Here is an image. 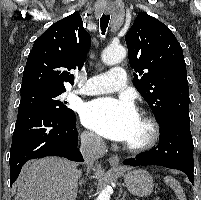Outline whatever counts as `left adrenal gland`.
Returning a JSON list of instances; mask_svg holds the SVG:
<instances>
[{
    "instance_id": "a2214340",
    "label": "left adrenal gland",
    "mask_w": 201,
    "mask_h": 200,
    "mask_svg": "<svg viewBox=\"0 0 201 200\" xmlns=\"http://www.w3.org/2000/svg\"><path fill=\"white\" fill-rule=\"evenodd\" d=\"M125 196H126V192H124L121 200H125Z\"/></svg>"
}]
</instances>
